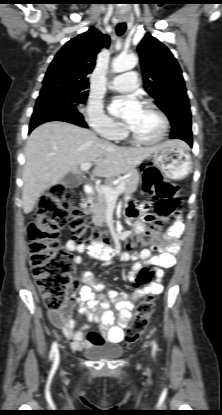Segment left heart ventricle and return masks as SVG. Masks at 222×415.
I'll return each mask as SVG.
<instances>
[{"label": "left heart ventricle", "instance_id": "left-heart-ventricle-1", "mask_svg": "<svg viewBox=\"0 0 222 415\" xmlns=\"http://www.w3.org/2000/svg\"><path fill=\"white\" fill-rule=\"evenodd\" d=\"M127 127L142 139H155L162 130L159 116L151 109L141 107L136 117L127 124Z\"/></svg>", "mask_w": 222, "mask_h": 415}]
</instances>
